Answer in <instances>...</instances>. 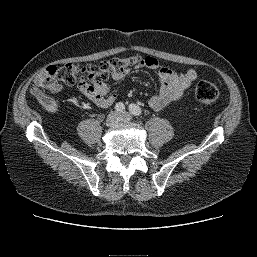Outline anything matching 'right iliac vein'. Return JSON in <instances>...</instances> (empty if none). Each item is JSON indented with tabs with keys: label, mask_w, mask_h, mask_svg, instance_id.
I'll list each match as a JSON object with an SVG mask.
<instances>
[{
	"label": "right iliac vein",
	"mask_w": 257,
	"mask_h": 257,
	"mask_svg": "<svg viewBox=\"0 0 257 257\" xmlns=\"http://www.w3.org/2000/svg\"><path fill=\"white\" fill-rule=\"evenodd\" d=\"M120 121V116L116 113H110L105 121L107 127H112Z\"/></svg>",
	"instance_id": "1"
}]
</instances>
